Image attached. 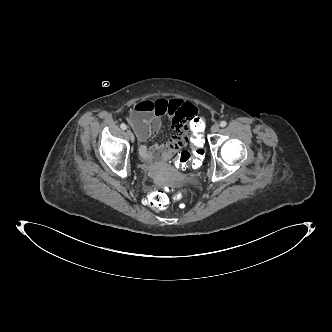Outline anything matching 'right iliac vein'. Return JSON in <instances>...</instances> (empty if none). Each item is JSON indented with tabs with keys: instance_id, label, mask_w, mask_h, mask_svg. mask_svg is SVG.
<instances>
[{
	"instance_id": "obj_1",
	"label": "right iliac vein",
	"mask_w": 332,
	"mask_h": 332,
	"mask_svg": "<svg viewBox=\"0 0 332 332\" xmlns=\"http://www.w3.org/2000/svg\"><path fill=\"white\" fill-rule=\"evenodd\" d=\"M126 135L130 139L131 142H134V139H135L134 138V134H133V132L130 129H127Z\"/></svg>"
}]
</instances>
